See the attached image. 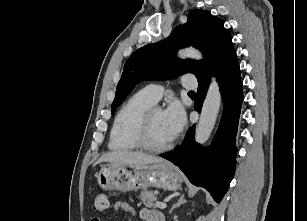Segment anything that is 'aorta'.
I'll return each instance as SVG.
<instances>
[{
    "label": "aorta",
    "mask_w": 307,
    "mask_h": 221,
    "mask_svg": "<svg viewBox=\"0 0 307 221\" xmlns=\"http://www.w3.org/2000/svg\"><path fill=\"white\" fill-rule=\"evenodd\" d=\"M178 56L181 58L202 59V54L195 48H186L179 51ZM221 105L220 88L213 77L204 100L199 123L195 131V141L199 144H204L210 137L214 128L219 109Z\"/></svg>",
    "instance_id": "1"
}]
</instances>
